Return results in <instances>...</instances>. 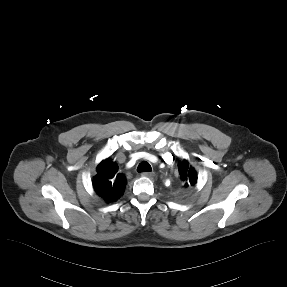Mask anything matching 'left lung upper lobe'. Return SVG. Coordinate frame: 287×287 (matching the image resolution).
<instances>
[{"instance_id":"left-lung-upper-lobe-1","label":"left lung upper lobe","mask_w":287,"mask_h":287,"mask_svg":"<svg viewBox=\"0 0 287 287\" xmlns=\"http://www.w3.org/2000/svg\"><path fill=\"white\" fill-rule=\"evenodd\" d=\"M180 178L185 186H192L197 182V173L186 160L178 163Z\"/></svg>"}]
</instances>
